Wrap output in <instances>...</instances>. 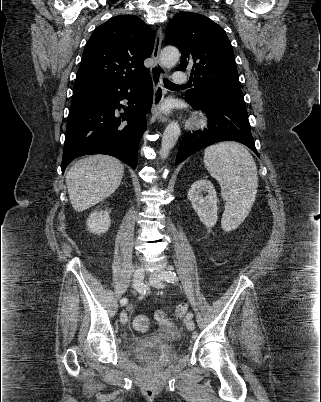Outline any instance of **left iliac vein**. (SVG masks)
I'll list each match as a JSON object with an SVG mask.
<instances>
[{
  "instance_id": "left-iliac-vein-1",
  "label": "left iliac vein",
  "mask_w": 321,
  "mask_h": 402,
  "mask_svg": "<svg viewBox=\"0 0 321 402\" xmlns=\"http://www.w3.org/2000/svg\"><path fill=\"white\" fill-rule=\"evenodd\" d=\"M164 273V271H155L150 274L149 281L151 285L155 288H164V283L160 276ZM185 324L188 330L192 331L195 328L194 321L192 319H186Z\"/></svg>"
}]
</instances>
